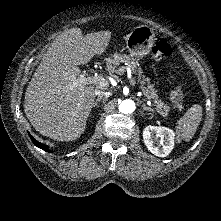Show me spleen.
Returning <instances> with one entry per match:
<instances>
[{
    "label": "spleen",
    "mask_w": 221,
    "mask_h": 221,
    "mask_svg": "<svg viewBox=\"0 0 221 221\" xmlns=\"http://www.w3.org/2000/svg\"><path fill=\"white\" fill-rule=\"evenodd\" d=\"M203 108L199 104L192 105L187 112L177 121V140L189 141L195 134L202 119Z\"/></svg>",
    "instance_id": "obj_1"
}]
</instances>
